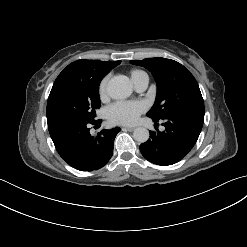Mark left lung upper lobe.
<instances>
[{"mask_svg": "<svg viewBox=\"0 0 247 247\" xmlns=\"http://www.w3.org/2000/svg\"><path fill=\"white\" fill-rule=\"evenodd\" d=\"M131 63L151 71L157 83L156 100L148 117L159 121L180 113L204 116V101L198 83L182 64L166 58L133 60Z\"/></svg>", "mask_w": 247, "mask_h": 247, "instance_id": "5c2ea615", "label": "left lung upper lobe"}]
</instances>
